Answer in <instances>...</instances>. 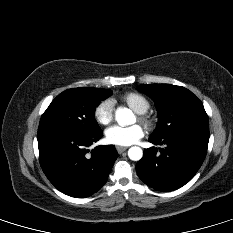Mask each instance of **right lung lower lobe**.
Wrapping results in <instances>:
<instances>
[{"mask_svg": "<svg viewBox=\"0 0 233 233\" xmlns=\"http://www.w3.org/2000/svg\"><path fill=\"white\" fill-rule=\"evenodd\" d=\"M102 131L84 133L61 128L38 131L39 161L49 181L62 193L85 198L107 181L118 156L113 145L88 150Z\"/></svg>", "mask_w": 233, "mask_h": 233, "instance_id": "1", "label": "right lung lower lobe"}]
</instances>
